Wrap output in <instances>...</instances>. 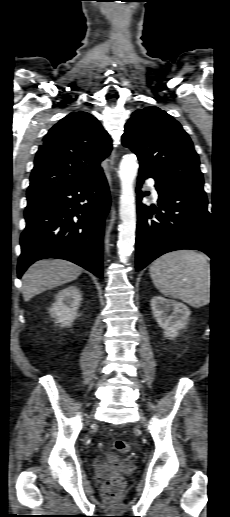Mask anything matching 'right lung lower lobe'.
Listing matches in <instances>:
<instances>
[{
	"instance_id": "98d812e1",
	"label": "right lung lower lobe",
	"mask_w": 230,
	"mask_h": 517,
	"mask_svg": "<svg viewBox=\"0 0 230 517\" xmlns=\"http://www.w3.org/2000/svg\"><path fill=\"white\" fill-rule=\"evenodd\" d=\"M18 278L35 261L60 258L102 278L104 221L110 195L104 173L27 196Z\"/></svg>"
}]
</instances>
